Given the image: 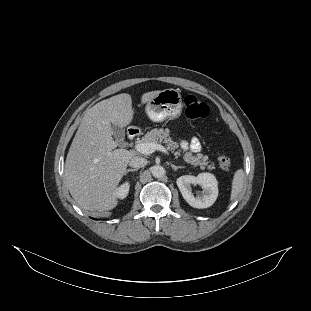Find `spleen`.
<instances>
[{"label": "spleen", "mask_w": 311, "mask_h": 311, "mask_svg": "<svg viewBox=\"0 0 311 311\" xmlns=\"http://www.w3.org/2000/svg\"><path fill=\"white\" fill-rule=\"evenodd\" d=\"M245 173L243 168L235 170L231 180V191L229 202H233L241 193L244 186Z\"/></svg>", "instance_id": "obj_1"}]
</instances>
